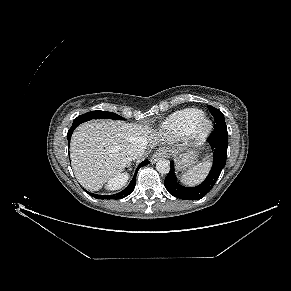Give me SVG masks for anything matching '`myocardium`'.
Instances as JSON below:
<instances>
[{"mask_svg":"<svg viewBox=\"0 0 291 291\" xmlns=\"http://www.w3.org/2000/svg\"><path fill=\"white\" fill-rule=\"evenodd\" d=\"M212 130V122L203 118L200 120L191 132V135L196 141H203L210 134Z\"/></svg>","mask_w":291,"mask_h":291,"instance_id":"myocardium-1","label":"myocardium"}]
</instances>
